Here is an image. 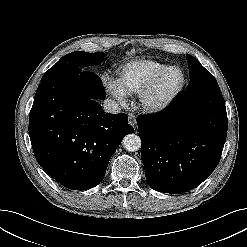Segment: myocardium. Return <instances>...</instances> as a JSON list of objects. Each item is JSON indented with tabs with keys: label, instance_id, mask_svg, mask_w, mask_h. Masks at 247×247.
I'll return each mask as SVG.
<instances>
[{
	"label": "myocardium",
	"instance_id": "f54148a6",
	"mask_svg": "<svg viewBox=\"0 0 247 247\" xmlns=\"http://www.w3.org/2000/svg\"><path fill=\"white\" fill-rule=\"evenodd\" d=\"M172 72L180 74V81L174 87L164 84L166 76ZM186 82L184 71L179 67H168L160 71L141 92V102L150 111H162L169 107L181 94Z\"/></svg>",
	"mask_w": 247,
	"mask_h": 247
}]
</instances>
